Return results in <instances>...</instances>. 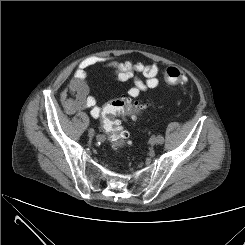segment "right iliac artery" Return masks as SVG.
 Here are the masks:
<instances>
[{
    "instance_id": "1",
    "label": "right iliac artery",
    "mask_w": 245,
    "mask_h": 245,
    "mask_svg": "<svg viewBox=\"0 0 245 245\" xmlns=\"http://www.w3.org/2000/svg\"><path fill=\"white\" fill-rule=\"evenodd\" d=\"M93 131H94V130H93ZM102 138H103V137H102L101 135H98V136H97V139H98V140H101Z\"/></svg>"
}]
</instances>
